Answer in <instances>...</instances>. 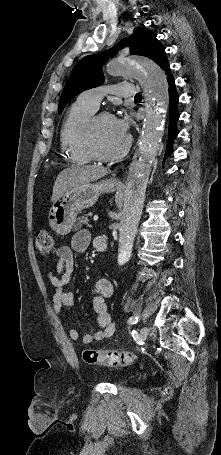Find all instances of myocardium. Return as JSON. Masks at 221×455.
<instances>
[{
  "label": "myocardium",
  "mask_w": 221,
  "mask_h": 455,
  "mask_svg": "<svg viewBox=\"0 0 221 455\" xmlns=\"http://www.w3.org/2000/svg\"><path fill=\"white\" fill-rule=\"evenodd\" d=\"M103 117H112L114 118V115L107 112V111H102L98 113H94L85 123L84 128H83V133H82V141H83V146L90 156L91 159L96 160V161H101V162H109V161H115L117 159H120L123 157L130 149L132 139L128 135L126 137V141L122 148H120L118 151L111 153V154H101L99 153L95 146H94V133H95V128L98 123V121L103 118Z\"/></svg>",
  "instance_id": "obj_1"
}]
</instances>
